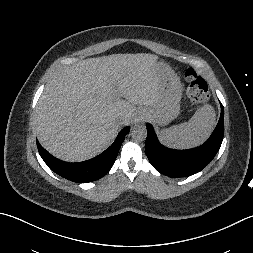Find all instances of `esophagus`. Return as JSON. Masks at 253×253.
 I'll return each instance as SVG.
<instances>
[{
  "label": "esophagus",
  "instance_id": "34e87169",
  "mask_svg": "<svg viewBox=\"0 0 253 253\" xmlns=\"http://www.w3.org/2000/svg\"><path fill=\"white\" fill-rule=\"evenodd\" d=\"M145 119V116L142 112H139L136 114L135 118H134V123H137V122H143Z\"/></svg>",
  "mask_w": 253,
  "mask_h": 253
}]
</instances>
